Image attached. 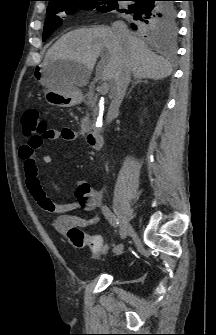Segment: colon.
Instances as JSON below:
<instances>
[{"label": "colon", "mask_w": 216, "mask_h": 335, "mask_svg": "<svg viewBox=\"0 0 216 335\" xmlns=\"http://www.w3.org/2000/svg\"><path fill=\"white\" fill-rule=\"evenodd\" d=\"M23 134L29 139L32 150L39 149L48 133L47 121L42 118L36 109L26 110L22 117ZM68 242L77 249L89 248L95 254L103 248V241L98 236H89L80 228H71L67 233Z\"/></svg>", "instance_id": "5ec220e1"}]
</instances>
